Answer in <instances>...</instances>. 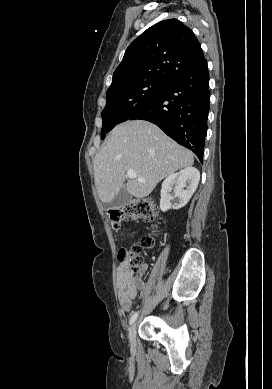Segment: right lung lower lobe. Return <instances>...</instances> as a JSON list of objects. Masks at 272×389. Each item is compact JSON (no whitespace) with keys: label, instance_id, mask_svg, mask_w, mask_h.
I'll return each mask as SVG.
<instances>
[{"label":"right lung lower lobe","instance_id":"right-lung-lower-lobe-1","mask_svg":"<svg viewBox=\"0 0 272 389\" xmlns=\"http://www.w3.org/2000/svg\"><path fill=\"white\" fill-rule=\"evenodd\" d=\"M210 91L207 60L168 80L160 93L129 120L143 119L159 126L203 162Z\"/></svg>","mask_w":272,"mask_h":389}]
</instances>
